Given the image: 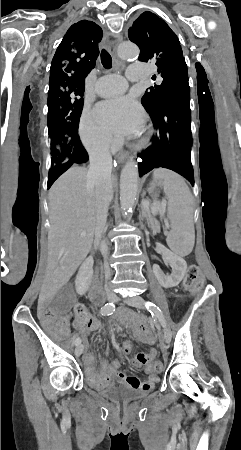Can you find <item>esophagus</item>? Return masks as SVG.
<instances>
[{"instance_id":"obj_1","label":"esophagus","mask_w":241,"mask_h":450,"mask_svg":"<svg viewBox=\"0 0 241 450\" xmlns=\"http://www.w3.org/2000/svg\"><path fill=\"white\" fill-rule=\"evenodd\" d=\"M107 48L110 50L113 57H116V51L119 43L122 41V36L107 32L104 37ZM128 158L127 153H121L117 157L118 164H122Z\"/></svg>"}]
</instances>
